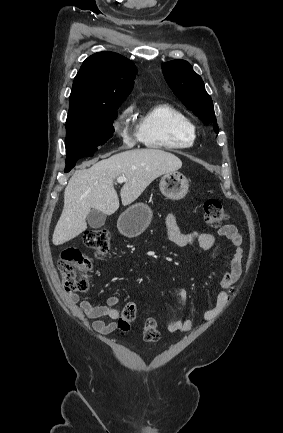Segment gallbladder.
<instances>
[{"label": "gallbladder", "instance_id": "obj_1", "mask_svg": "<svg viewBox=\"0 0 283 433\" xmlns=\"http://www.w3.org/2000/svg\"><path fill=\"white\" fill-rule=\"evenodd\" d=\"M88 225L92 227V229H100L103 227L106 221L105 212H101V210H96V208H92L89 214H87Z\"/></svg>", "mask_w": 283, "mask_h": 433}]
</instances>
